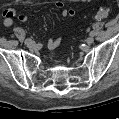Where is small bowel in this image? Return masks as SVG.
<instances>
[{
    "mask_svg": "<svg viewBox=\"0 0 119 119\" xmlns=\"http://www.w3.org/2000/svg\"><path fill=\"white\" fill-rule=\"evenodd\" d=\"M55 7L59 10H61L62 15L65 17H73L74 11L71 9L64 8V3L61 1H57L55 3ZM15 16V10L12 8H8L3 11V17H4V26L10 27L13 24V17ZM18 19L21 22H26L27 17L25 15H20ZM62 39L60 37L58 38H50L48 41V47L51 51H55L61 44Z\"/></svg>",
    "mask_w": 119,
    "mask_h": 119,
    "instance_id": "obj_1",
    "label": "small bowel"
}]
</instances>
